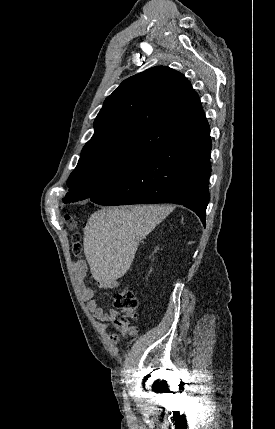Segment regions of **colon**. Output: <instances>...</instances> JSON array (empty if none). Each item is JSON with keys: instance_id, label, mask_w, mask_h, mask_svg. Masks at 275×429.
Wrapping results in <instances>:
<instances>
[{"instance_id": "1", "label": "colon", "mask_w": 275, "mask_h": 429, "mask_svg": "<svg viewBox=\"0 0 275 429\" xmlns=\"http://www.w3.org/2000/svg\"><path fill=\"white\" fill-rule=\"evenodd\" d=\"M65 221L69 227H73V220L69 215L65 216ZM81 251V246L78 239L75 237L72 252L75 257L79 258L81 256ZM114 305L121 312V318L116 322L119 335L114 337L115 340H118L119 336L133 333L129 325V319L135 317L138 302L132 290L129 288H122L114 296Z\"/></svg>"}]
</instances>
